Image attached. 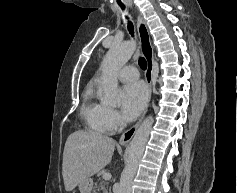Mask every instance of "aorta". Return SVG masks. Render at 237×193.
Masks as SVG:
<instances>
[{"instance_id":"762f6f07","label":"aorta","mask_w":237,"mask_h":193,"mask_svg":"<svg viewBox=\"0 0 237 193\" xmlns=\"http://www.w3.org/2000/svg\"><path fill=\"white\" fill-rule=\"evenodd\" d=\"M136 49L133 41L115 43L108 51L101 64L102 75L100 86L102 89V101L113 104L120 95L118 89L117 73L121 67L131 58ZM154 119L150 115L137 129L128 150V159L121 173L119 187L116 193H131V186L137 172L139 162L144 153L145 145Z\"/></svg>"}]
</instances>
